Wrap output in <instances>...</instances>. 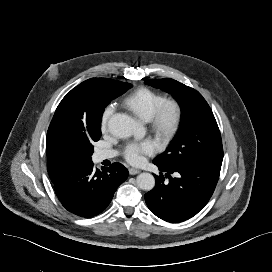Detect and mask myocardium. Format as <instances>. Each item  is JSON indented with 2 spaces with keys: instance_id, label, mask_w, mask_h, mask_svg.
Instances as JSON below:
<instances>
[{
  "instance_id": "obj_1",
  "label": "myocardium",
  "mask_w": 272,
  "mask_h": 272,
  "mask_svg": "<svg viewBox=\"0 0 272 272\" xmlns=\"http://www.w3.org/2000/svg\"><path fill=\"white\" fill-rule=\"evenodd\" d=\"M182 115V106L177 99L164 98L157 106L149 122L157 137L167 139L179 128Z\"/></svg>"
}]
</instances>
